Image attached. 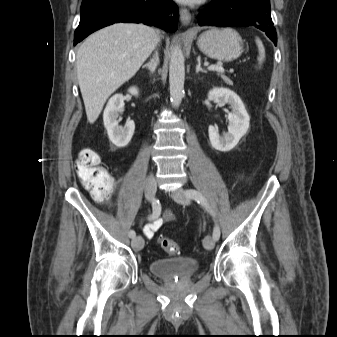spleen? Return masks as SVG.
I'll list each match as a JSON object with an SVG mask.
<instances>
[{"label":"spleen","instance_id":"spleen-1","mask_svg":"<svg viewBox=\"0 0 337 337\" xmlns=\"http://www.w3.org/2000/svg\"><path fill=\"white\" fill-rule=\"evenodd\" d=\"M256 44L259 52L258 62L261 65L265 59V48L262 41L258 37L256 38Z\"/></svg>","mask_w":337,"mask_h":337}]
</instances>
